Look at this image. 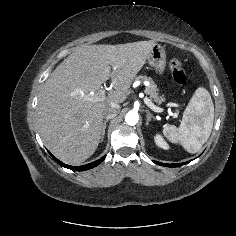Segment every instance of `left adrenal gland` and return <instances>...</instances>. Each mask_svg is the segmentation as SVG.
Returning <instances> with one entry per match:
<instances>
[{"label": "left adrenal gland", "instance_id": "obj_1", "mask_svg": "<svg viewBox=\"0 0 236 236\" xmlns=\"http://www.w3.org/2000/svg\"><path fill=\"white\" fill-rule=\"evenodd\" d=\"M147 117H146V126L149 125V122L153 119L155 121V117L148 111L145 110Z\"/></svg>", "mask_w": 236, "mask_h": 236}]
</instances>
